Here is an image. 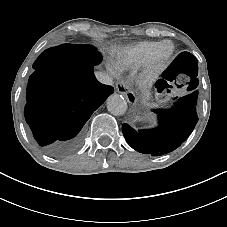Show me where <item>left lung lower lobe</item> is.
<instances>
[{"label": "left lung lower lobe", "instance_id": "left-lung-lower-lobe-1", "mask_svg": "<svg viewBox=\"0 0 227 227\" xmlns=\"http://www.w3.org/2000/svg\"><path fill=\"white\" fill-rule=\"evenodd\" d=\"M191 85L195 76L191 75ZM192 86V88H194ZM195 91L179 99V103L169 110L159 111V126L155 129L136 131L128 124L122 125V132L128 144L136 151L153 156L167 154L178 148L193 131L198 117Z\"/></svg>", "mask_w": 227, "mask_h": 227}]
</instances>
